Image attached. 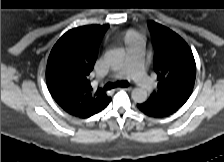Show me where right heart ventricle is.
I'll use <instances>...</instances> for the list:
<instances>
[{"label": "right heart ventricle", "instance_id": "obj_1", "mask_svg": "<svg viewBox=\"0 0 224 162\" xmlns=\"http://www.w3.org/2000/svg\"><path fill=\"white\" fill-rule=\"evenodd\" d=\"M134 36H135L134 32H129V33H127V35H126V40H127L128 42H130L131 40H135L136 38H135Z\"/></svg>", "mask_w": 224, "mask_h": 162}]
</instances>
